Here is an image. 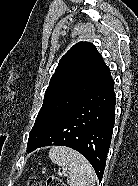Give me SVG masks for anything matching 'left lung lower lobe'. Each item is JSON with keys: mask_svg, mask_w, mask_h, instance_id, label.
<instances>
[{"mask_svg": "<svg viewBox=\"0 0 138 186\" xmlns=\"http://www.w3.org/2000/svg\"><path fill=\"white\" fill-rule=\"evenodd\" d=\"M114 123V80L110 74L38 140L27 146V152L51 145L73 148L90 162L101 181Z\"/></svg>", "mask_w": 138, "mask_h": 186, "instance_id": "1", "label": "left lung lower lobe"}]
</instances>
